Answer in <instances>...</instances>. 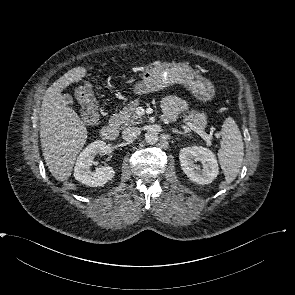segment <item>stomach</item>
<instances>
[{"label":"stomach","instance_id":"stomach-1","mask_svg":"<svg viewBox=\"0 0 295 295\" xmlns=\"http://www.w3.org/2000/svg\"><path fill=\"white\" fill-rule=\"evenodd\" d=\"M181 84L198 100L207 102L215 95L213 84L186 63H165L146 69L142 81L134 85L136 94L160 91Z\"/></svg>","mask_w":295,"mask_h":295}]
</instances>
